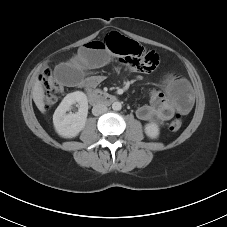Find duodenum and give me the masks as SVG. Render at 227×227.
I'll return each mask as SVG.
<instances>
[{"instance_id":"duodenum-1","label":"duodenum","mask_w":227,"mask_h":227,"mask_svg":"<svg viewBox=\"0 0 227 227\" xmlns=\"http://www.w3.org/2000/svg\"><path fill=\"white\" fill-rule=\"evenodd\" d=\"M88 101L91 104H111L117 100V97L113 94L97 91L93 89H88L86 92Z\"/></svg>"}]
</instances>
